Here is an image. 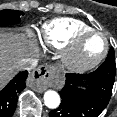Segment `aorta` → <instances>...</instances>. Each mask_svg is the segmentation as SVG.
<instances>
[{
	"instance_id": "762f6f07",
	"label": "aorta",
	"mask_w": 117,
	"mask_h": 117,
	"mask_svg": "<svg viewBox=\"0 0 117 117\" xmlns=\"http://www.w3.org/2000/svg\"><path fill=\"white\" fill-rule=\"evenodd\" d=\"M61 102L59 94L54 90H48L44 94V103L50 109H56Z\"/></svg>"
}]
</instances>
